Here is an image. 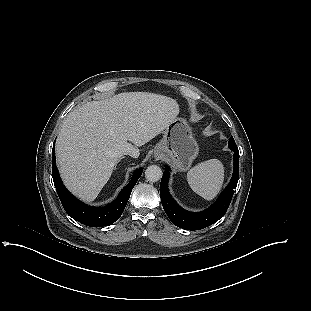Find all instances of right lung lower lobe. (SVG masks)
I'll use <instances>...</instances> for the list:
<instances>
[{"mask_svg":"<svg viewBox=\"0 0 311 311\" xmlns=\"http://www.w3.org/2000/svg\"><path fill=\"white\" fill-rule=\"evenodd\" d=\"M143 169L134 172L129 183L121 190L114 202L105 207H91L75 198L63 185L55 161V142L52 150V176L58 196L65 211L76 221L91 227L107 226L119 219L129 200L131 191Z\"/></svg>","mask_w":311,"mask_h":311,"instance_id":"1","label":"right lung lower lobe"}]
</instances>
